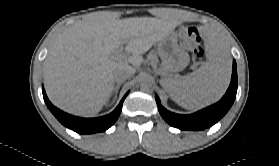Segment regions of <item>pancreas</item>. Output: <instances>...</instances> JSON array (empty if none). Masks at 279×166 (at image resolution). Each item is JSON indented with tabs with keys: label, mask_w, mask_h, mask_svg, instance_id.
<instances>
[{
	"label": "pancreas",
	"mask_w": 279,
	"mask_h": 166,
	"mask_svg": "<svg viewBox=\"0 0 279 166\" xmlns=\"http://www.w3.org/2000/svg\"><path fill=\"white\" fill-rule=\"evenodd\" d=\"M150 59H151L152 62H156L157 61L156 55H150Z\"/></svg>",
	"instance_id": "pancreas-1"
}]
</instances>
